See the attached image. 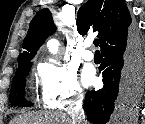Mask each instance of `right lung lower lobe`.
<instances>
[{
  "label": "right lung lower lobe",
  "instance_id": "98d812e1",
  "mask_svg": "<svg viewBox=\"0 0 145 124\" xmlns=\"http://www.w3.org/2000/svg\"><path fill=\"white\" fill-rule=\"evenodd\" d=\"M104 86L89 91L84 109L93 124H105L110 115L120 111L133 114L145 92V43L131 25L101 45Z\"/></svg>",
  "mask_w": 145,
  "mask_h": 124
}]
</instances>
